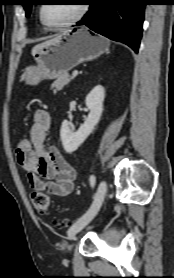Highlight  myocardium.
Instances as JSON below:
<instances>
[{
    "mask_svg": "<svg viewBox=\"0 0 174 278\" xmlns=\"http://www.w3.org/2000/svg\"><path fill=\"white\" fill-rule=\"evenodd\" d=\"M44 7L45 5H42L39 9L40 20L47 29L56 31L68 27L70 25H73L74 23L82 19L84 15L87 13L89 6L86 3L82 4L79 12L72 19L60 25H51L50 23L47 22L44 16Z\"/></svg>",
    "mask_w": 174,
    "mask_h": 278,
    "instance_id": "myocardium-1",
    "label": "myocardium"
}]
</instances>
